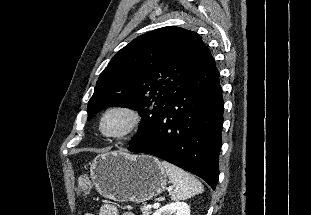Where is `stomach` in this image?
Segmentation results:
<instances>
[{
    "instance_id": "1",
    "label": "stomach",
    "mask_w": 311,
    "mask_h": 215,
    "mask_svg": "<svg viewBox=\"0 0 311 215\" xmlns=\"http://www.w3.org/2000/svg\"><path fill=\"white\" fill-rule=\"evenodd\" d=\"M90 175L103 197L135 203L159 195L166 188L168 177L157 158L122 151L98 155L90 164Z\"/></svg>"
}]
</instances>
